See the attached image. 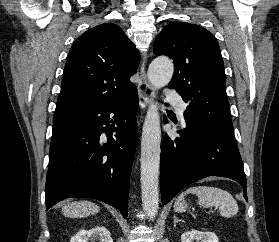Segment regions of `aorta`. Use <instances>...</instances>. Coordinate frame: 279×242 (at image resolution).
I'll list each match as a JSON object with an SVG mask.
<instances>
[{
  "instance_id": "762f6f07",
  "label": "aorta",
  "mask_w": 279,
  "mask_h": 242,
  "mask_svg": "<svg viewBox=\"0 0 279 242\" xmlns=\"http://www.w3.org/2000/svg\"><path fill=\"white\" fill-rule=\"evenodd\" d=\"M174 66L168 57L155 58L148 69V79L153 89L166 86L172 79ZM161 128L157 104L151 103L143 125L141 140V191L142 204L149 219L159 208V166Z\"/></svg>"
}]
</instances>
